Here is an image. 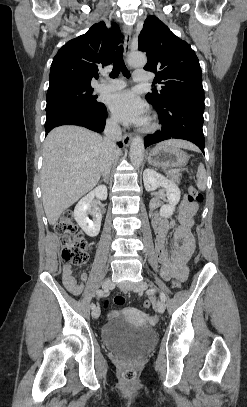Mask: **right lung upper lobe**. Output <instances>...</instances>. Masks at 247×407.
<instances>
[{"label": "right lung upper lobe", "mask_w": 247, "mask_h": 407, "mask_svg": "<svg viewBox=\"0 0 247 407\" xmlns=\"http://www.w3.org/2000/svg\"><path fill=\"white\" fill-rule=\"evenodd\" d=\"M119 39L118 25L112 23L108 29L101 21L87 33L66 43L52 61L48 90L91 87L92 78H98V68L112 63Z\"/></svg>", "instance_id": "right-lung-upper-lobe-1"}]
</instances>
